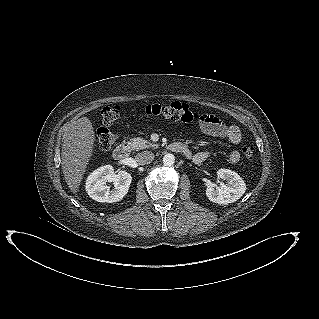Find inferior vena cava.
<instances>
[{
	"label": "inferior vena cava",
	"instance_id": "602c4592",
	"mask_svg": "<svg viewBox=\"0 0 319 319\" xmlns=\"http://www.w3.org/2000/svg\"><path fill=\"white\" fill-rule=\"evenodd\" d=\"M154 160V153L151 151H143L136 155V161L140 165L150 164Z\"/></svg>",
	"mask_w": 319,
	"mask_h": 319
}]
</instances>
